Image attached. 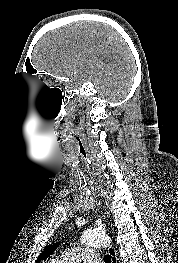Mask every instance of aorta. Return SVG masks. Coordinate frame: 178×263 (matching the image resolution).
<instances>
[{"label": "aorta", "mask_w": 178, "mask_h": 263, "mask_svg": "<svg viewBox=\"0 0 178 263\" xmlns=\"http://www.w3.org/2000/svg\"><path fill=\"white\" fill-rule=\"evenodd\" d=\"M81 241L85 245L106 247L110 244V238L101 231L88 230L81 236Z\"/></svg>", "instance_id": "obj_1"}]
</instances>
